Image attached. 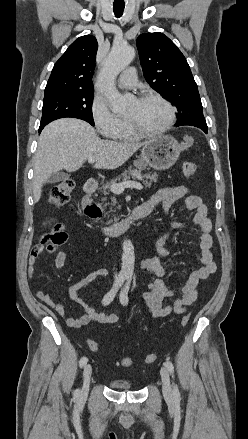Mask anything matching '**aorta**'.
<instances>
[{"instance_id": "762f6f07", "label": "aorta", "mask_w": 248, "mask_h": 439, "mask_svg": "<svg viewBox=\"0 0 248 439\" xmlns=\"http://www.w3.org/2000/svg\"><path fill=\"white\" fill-rule=\"evenodd\" d=\"M135 50L129 45L115 46L111 49L99 75V85L105 98L109 101L114 113L126 111L130 105V96L122 95L115 87L117 75L124 70L134 59ZM121 273L132 276L135 263L134 246L125 239L122 244Z\"/></svg>"}]
</instances>
